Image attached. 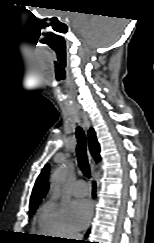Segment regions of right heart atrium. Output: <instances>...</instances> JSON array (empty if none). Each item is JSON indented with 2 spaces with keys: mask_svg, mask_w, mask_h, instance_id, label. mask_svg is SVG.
<instances>
[{
  "mask_svg": "<svg viewBox=\"0 0 154 243\" xmlns=\"http://www.w3.org/2000/svg\"><path fill=\"white\" fill-rule=\"evenodd\" d=\"M37 222L39 231L49 237L69 239L77 236L65 207L55 201H48L40 208Z\"/></svg>",
  "mask_w": 154,
  "mask_h": 243,
  "instance_id": "1",
  "label": "right heart atrium"
}]
</instances>
